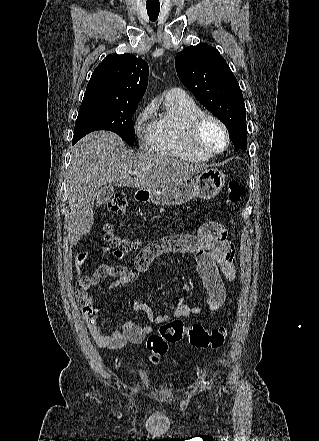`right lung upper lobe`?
<instances>
[{
	"label": "right lung upper lobe",
	"mask_w": 319,
	"mask_h": 441,
	"mask_svg": "<svg viewBox=\"0 0 319 441\" xmlns=\"http://www.w3.org/2000/svg\"><path fill=\"white\" fill-rule=\"evenodd\" d=\"M148 83V64L131 54L106 56L94 70L83 101L138 104Z\"/></svg>",
	"instance_id": "obj_1"
}]
</instances>
